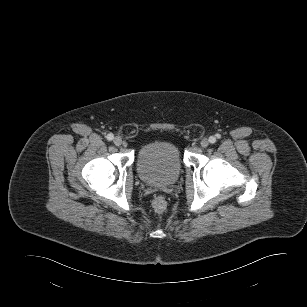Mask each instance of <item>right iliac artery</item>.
Masks as SVG:
<instances>
[{
    "label": "right iliac artery",
    "instance_id": "right-iliac-artery-1",
    "mask_svg": "<svg viewBox=\"0 0 307 307\" xmlns=\"http://www.w3.org/2000/svg\"><path fill=\"white\" fill-rule=\"evenodd\" d=\"M113 138H114V135L112 133H109L107 135V140L111 141V140H113Z\"/></svg>",
    "mask_w": 307,
    "mask_h": 307
}]
</instances>
